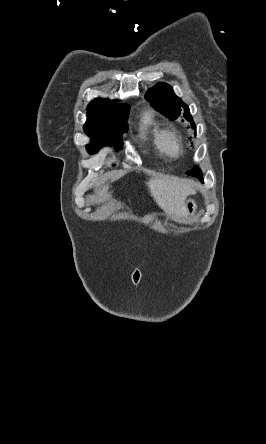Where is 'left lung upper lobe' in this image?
Here are the masks:
<instances>
[{
    "label": "left lung upper lobe",
    "instance_id": "obj_1",
    "mask_svg": "<svg viewBox=\"0 0 266 444\" xmlns=\"http://www.w3.org/2000/svg\"><path fill=\"white\" fill-rule=\"evenodd\" d=\"M146 98L151 102L152 107L160 111L170 120H175L181 115V108H184L183 117L193 124L192 116L190 115L189 107L177 97L170 85L166 83H157L146 93ZM194 176L193 174H189Z\"/></svg>",
    "mask_w": 266,
    "mask_h": 444
}]
</instances>
